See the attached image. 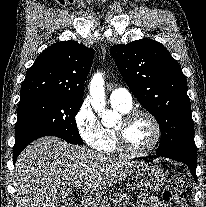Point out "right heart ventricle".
Instances as JSON below:
<instances>
[{"mask_svg": "<svg viewBox=\"0 0 206 207\" xmlns=\"http://www.w3.org/2000/svg\"><path fill=\"white\" fill-rule=\"evenodd\" d=\"M112 106L115 110H117V111H119L123 114L129 112L130 109H131V108L130 109L123 108L122 106L114 104V103H112ZM104 131H105V134H106V148H105V151H107V152H116V151H118L114 129L106 127V128H104Z\"/></svg>", "mask_w": 206, "mask_h": 207, "instance_id": "e07e8e85", "label": "right heart ventricle"}]
</instances>
